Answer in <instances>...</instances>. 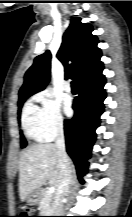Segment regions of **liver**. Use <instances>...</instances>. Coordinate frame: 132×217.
Here are the masks:
<instances>
[{
	"label": "liver",
	"mask_w": 132,
	"mask_h": 217,
	"mask_svg": "<svg viewBox=\"0 0 132 217\" xmlns=\"http://www.w3.org/2000/svg\"><path fill=\"white\" fill-rule=\"evenodd\" d=\"M18 169L21 201H25L31 192L40 189L47 181L51 186L58 188L61 173L56 145L36 144L27 148L20 156Z\"/></svg>",
	"instance_id": "6515ba94"
}]
</instances>
